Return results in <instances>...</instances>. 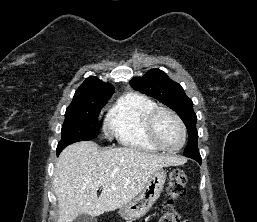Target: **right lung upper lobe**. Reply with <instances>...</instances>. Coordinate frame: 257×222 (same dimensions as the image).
<instances>
[{
	"label": "right lung upper lobe",
	"instance_id": "right-lung-upper-lobe-1",
	"mask_svg": "<svg viewBox=\"0 0 257 222\" xmlns=\"http://www.w3.org/2000/svg\"><path fill=\"white\" fill-rule=\"evenodd\" d=\"M114 91L115 89L110 83H104L98 78L91 76L76 90L72 102L100 98L110 99Z\"/></svg>",
	"mask_w": 257,
	"mask_h": 222
}]
</instances>
